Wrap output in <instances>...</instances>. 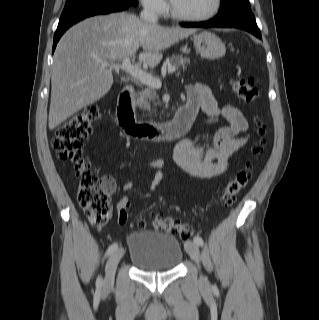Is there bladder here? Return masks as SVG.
<instances>
[{"label":"bladder","instance_id":"obj_1","mask_svg":"<svg viewBox=\"0 0 319 320\" xmlns=\"http://www.w3.org/2000/svg\"><path fill=\"white\" fill-rule=\"evenodd\" d=\"M127 248L130 263L141 271L173 270L183 259L184 249L178 238L156 230L131 233Z\"/></svg>","mask_w":319,"mask_h":320}]
</instances>
